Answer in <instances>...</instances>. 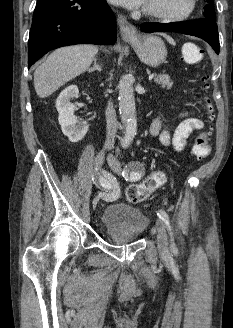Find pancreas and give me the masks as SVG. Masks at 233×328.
<instances>
[{"instance_id": "obj_1", "label": "pancreas", "mask_w": 233, "mask_h": 328, "mask_svg": "<svg viewBox=\"0 0 233 328\" xmlns=\"http://www.w3.org/2000/svg\"><path fill=\"white\" fill-rule=\"evenodd\" d=\"M154 81L161 85L162 88L170 89L173 86V81L170 79V76L167 74L155 75Z\"/></svg>"}]
</instances>
